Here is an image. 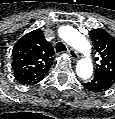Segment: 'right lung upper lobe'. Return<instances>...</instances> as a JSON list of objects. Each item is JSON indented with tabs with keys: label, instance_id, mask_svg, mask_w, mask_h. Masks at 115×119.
Listing matches in <instances>:
<instances>
[{
	"label": "right lung upper lobe",
	"instance_id": "obj_1",
	"mask_svg": "<svg viewBox=\"0 0 115 119\" xmlns=\"http://www.w3.org/2000/svg\"><path fill=\"white\" fill-rule=\"evenodd\" d=\"M55 54L52 45L40 29L24 35L13 47L12 68L17 81L36 84L46 75Z\"/></svg>",
	"mask_w": 115,
	"mask_h": 119
}]
</instances>
